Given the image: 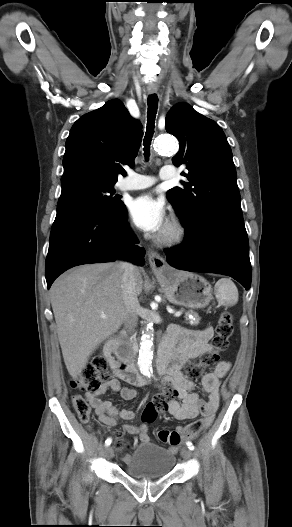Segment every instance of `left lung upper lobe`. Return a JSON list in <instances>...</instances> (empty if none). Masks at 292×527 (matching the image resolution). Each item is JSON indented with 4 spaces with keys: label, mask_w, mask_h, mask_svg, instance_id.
<instances>
[{
    "label": "left lung upper lobe",
    "mask_w": 292,
    "mask_h": 527,
    "mask_svg": "<svg viewBox=\"0 0 292 527\" xmlns=\"http://www.w3.org/2000/svg\"><path fill=\"white\" fill-rule=\"evenodd\" d=\"M166 131L180 143L172 162L186 165L184 188L175 187L167 197L184 228L208 218H243L232 151L220 126L179 103L166 116Z\"/></svg>",
    "instance_id": "left-lung-upper-lobe-1"
}]
</instances>
